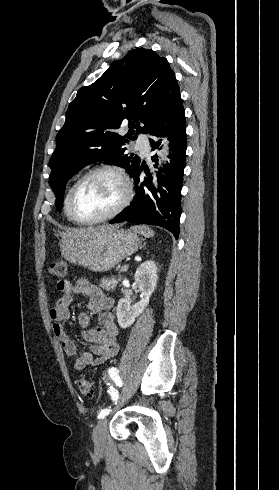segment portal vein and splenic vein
<instances>
[{
  "instance_id": "obj_1",
  "label": "portal vein and splenic vein",
  "mask_w": 279,
  "mask_h": 490,
  "mask_svg": "<svg viewBox=\"0 0 279 490\" xmlns=\"http://www.w3.org/2000/svg\"><path fill=\"white\" fill-rule=\"evenodd\" d=\"M128 270V266H123V268H121V272H127Z\"/></svg>"
}]
</instances>
